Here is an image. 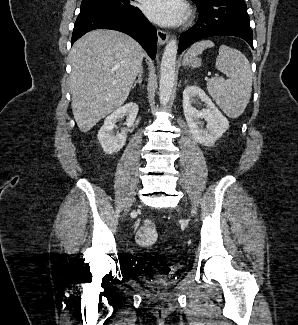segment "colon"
<instances>
[{
    "label": "colon",
    "instance_id": "1",
    "mask_svg": "<svg viewBox=\"0 0 298 325\" xmlns=\"http://www.w3.org/2000/svg\"><path fill=\"white\" fill-rule=\"evenodd\" d=\"M158 237V231L154 224L147 222L136 233V241L141 246L153 245Z\"/></svg>",
    "mask_w": 298,
    "mask_h": 325
}]
</instances>
